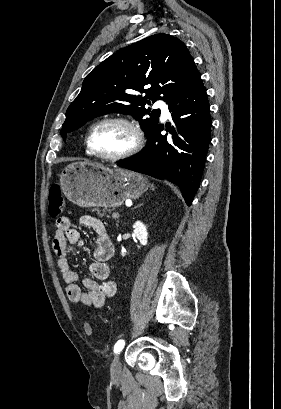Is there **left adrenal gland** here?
Masks as SVG:
<instances>
[{
    "label": "left adrenal gland",
    "instance_id": "obj_1",
    "mask_svg": "<svg viewBox=\"0 0 281 409\" xmlns=\"http://www.w3.org/2000/svg\"><path fill=\"white\" fill-rule=\"evenodd\" d=\"M142 205H144V202H141V205H138V207H142ZM135 209H137V207H135Z\"/></svg>",
    "mask_w": 281,
    "mask_h": 409
}]
</instances>
